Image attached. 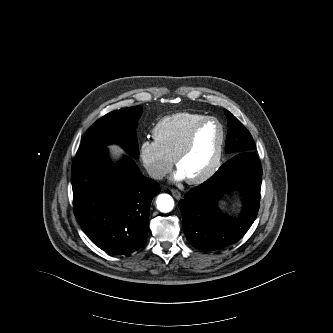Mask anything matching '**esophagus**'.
<instances>
[{
    "label": "esophagus",
    "mask_w": 333,
    "mask_h": 333,
    "mask_svg": "<svg viewBox=\"0 0 333 333\" xmlns=\"http://www.w3.org/2000/svg\"><path fill=\"white\" fill-rule=\"evenodd\" d=\"M171 193H172V195L176 198V199H180L181 198V193L178 191V190H176V189H172L171 190Z\"/></svg>",
    "instance_id": "obj_1"
}]
</instances>
